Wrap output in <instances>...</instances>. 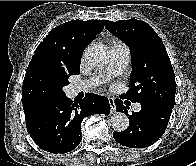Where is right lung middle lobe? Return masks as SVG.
Listing matches in <instances>:
<instances>
[{"label":"right lung middle lobe","instance_id":"1","mask_svg":"<svg viewBox=\"0 0 196 166\" xmlns=\"http://www.w3.org/2000/svg\"><path fill=\"white\" fill-rule=\"evenodd\" d=\"M72 74L41 61L29 64L23 82L22 103L65 96L63 87L69 84L68 78Z\"/></svg>","mask_w":196,"mask_h":166}]
</instances>
